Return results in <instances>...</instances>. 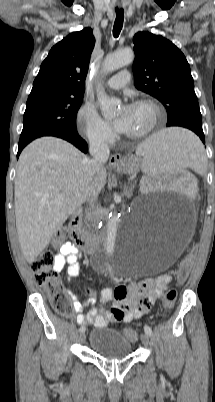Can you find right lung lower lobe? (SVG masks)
Segmentation results:
<instances>
[{"label":"right lung lower lobe","instance_id":"1","mask_svg":"<svg viewBox=\"0 0 215 402\" xmlns=\"http://www.w3.org/2000/svg\"><path fill=\"white\" fill-rule=\"evenodd\" d=\"M56 137L62 138L64 140H67L68 142L72 143L74 146H76L77 148H79L82 152L87 153L88 152V146L87 143L78 135L77 132L75 133H60L58 135H54ZM26 145L20 146L18 147V153H17V157L19 156L20 152L22 151V149L25 147Z\"/></svg>","mask_w":215,"mask_h":402}]
</instances>
